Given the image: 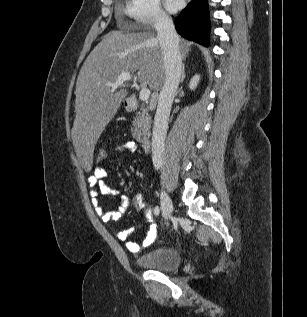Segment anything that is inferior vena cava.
<instances>
[{
	"label": "inferior vena cava",
	"instance_id": "obj_1",
	"mask_svg": "<svg viewBox=\"0 0 307 317\" xmlns=\"http://www.w3.org/2000/svg\"><path fill=\"white\" fill-rule=\"evenodd\" d=\"M155 29L165 68V82L158 97L152 135V162L158 170L163 163L168 120L181 79L182 57L179 50V38L172 19L166 15H160L155 23Z\"/></svg>",
	"mask_w": 307,
	"mask_h": 317
}]
</instances>
